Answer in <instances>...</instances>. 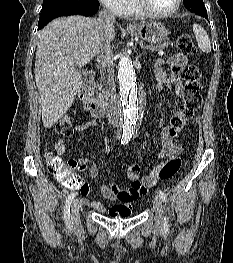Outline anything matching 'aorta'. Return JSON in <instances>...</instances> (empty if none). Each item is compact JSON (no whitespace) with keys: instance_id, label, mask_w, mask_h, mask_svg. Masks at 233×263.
Here are the masks:
<instances>
[{"instance_id":"aorta-1","label":"aorta","mask_w":233,"mask_h":263,"mask_svg":"<svg viewBox=\"0 0 233 263\" xmlns=\"http://www.w3.org/2000/svg\"><path fill=\"white\" fill-rule=\"evenodd\" d=\"M120 110L125 127H135L142 116L145 93L137 81L136 72L128 55H123L118 68Z\"/></svg>"}]
</instances>
